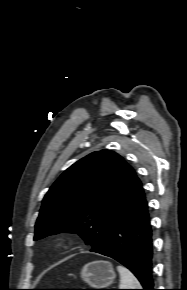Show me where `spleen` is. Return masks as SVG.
<instances>
[{"label":"spleen","instance_id":"1","mask_svg":"<svg viewBox=\"0 0 187 290\" xmlns=\"http://www.w3.org/2000/svg\"><path fill=\"white\" fill-rule=\"evenodd\" d=\"M120 274L119 289H141V285L133 273L122 265L117 266Z\"/></svg>","mask_w":187,"mask_h":290}]
</instances>
